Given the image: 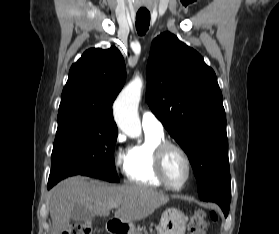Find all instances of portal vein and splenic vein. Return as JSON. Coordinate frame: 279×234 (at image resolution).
<instances>
[{
  "mask_svg": "<svg viewBox=\"0 0 279 234\" xmlns=\"http://www.w3.org/2000/svg\"><path fill=\"white\" fill-rule=\"evenodd\" d=\"M112 207H118V205L117 204H112Z\"/></svg>",
  "mask_w": 279,
  "mask_h": 234,
  "instance_id": "18ae733b",
  "label": "portal vein and splenic vein"
}]
</instances>
